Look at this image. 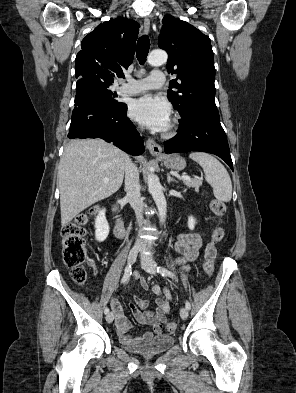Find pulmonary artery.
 Wrapping results in <instances>:
<instances>
[{
	"label": "pulmonary artery",
	"mask_w": 296,
	"mask_h": 393,
	"mask_svg": "<svg viewBox=\"0 0 296 393\" xmlns=\"http://www.w3.org/2000/svg\"><path fill=\"white\" fill-rule=\"evenodd\" d=\"M125 80L126 83L120 86L119 91L126 95H134L161 87L165 83V75L160 71H153L145 78L134 79L126 76Z\"/></svg>",
	"instance_id": "e3ab8cb5"
}]
</instances>
